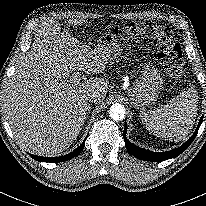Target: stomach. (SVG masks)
Instances as JSON below:
<instances>
[{
	"instance_id": "obj_1",
	"label": "stomach",
	"mask_w": 206,
	"mask_h": 206,
	"mask_svg": "<svg viewBox=\"0 0 206 206\" xmlns=\"http://www.w3.org/2000/svg\"><path fill=\"white\" fill-rule=\"evenodd\" d=\"M117 37V34L110 30L104 32L97 43V47H100L106 53L111 62L119 57L123 50ZM163 81L156 65L151 61L145 63L140 75L127 92L133 106L142 110V112H146L145 108L156 102Z\"/></svg>"
}]
</instances>
